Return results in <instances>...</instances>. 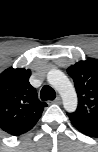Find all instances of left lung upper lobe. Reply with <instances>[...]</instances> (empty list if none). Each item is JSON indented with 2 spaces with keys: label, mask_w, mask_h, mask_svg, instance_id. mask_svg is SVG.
<instances>
[{
  "label": "left lung upper lobe",
  "mask_w": 98,
  "mask_h": 152,
  "mask_svg": "<svg viewBox=\"0 0 98 152\" xmlns=\"http://www.w3.org/2000/svg\"><path fill=\"white\" fill-rule=\"evenodd\" d=\"M78 95L75 112L67 113L73 123L98 128V60L87 59L67 69Z\"/></svg>",
  "instance_id": "left-lung-upper-lobe-1"
}]
</instances>
